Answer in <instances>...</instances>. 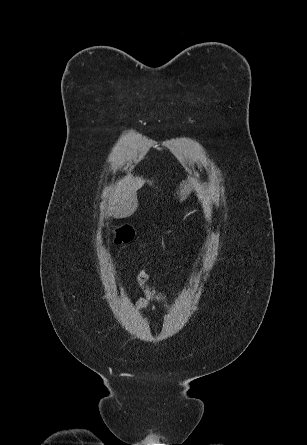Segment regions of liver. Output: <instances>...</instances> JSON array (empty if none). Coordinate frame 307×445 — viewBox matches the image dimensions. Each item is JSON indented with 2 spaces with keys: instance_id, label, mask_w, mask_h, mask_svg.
Instances as JSON below:
<instances>
[{
  "instance_id": "6515ba94",
  "label": "liver",
  "mask_w": 307,
  "mask_h": 445,
  "mask_svg": "<svg viewBox=\"0 0 307 445\" xmlns=\"http://www.w3.org/2000/svg\"><path fill=\"white\" fill-rule=\"evenodd\" d=\"M195 178H187V180H181L178 190L175 194H178L179 202H183L185 198H188L190 192H192ZM153 184V180L149 178H143V176H132V174H126L120 180H117L113 186V192L110 198L109 206L112 214L115 218H125V216H131L138 208V196L137 190L142 188L143 184Z\"/></svg>"
}]
</instances>
